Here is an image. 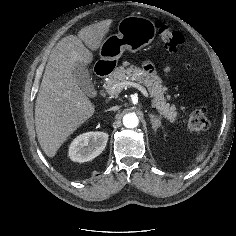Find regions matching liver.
<instances>
[{
	"label": "liver",
	"mask_w": 236,
	"mask_h": 236,
	"mask_svg": "<svg viewBox=\"0 0 236 236\" xmlns=\"http://www.w3.org/2000/svg\"><path fill=\"white\" fill-rule=\"evenodd\" d=\"M112 22L103 20L82 28L78 36L62 38L49 56L35 104V127L39 144L50 158L95 112L73 71L78 64L92 62L91 51L101 47Z\"/></svg>",
	"instance_id": "1"
}]
</instances>
